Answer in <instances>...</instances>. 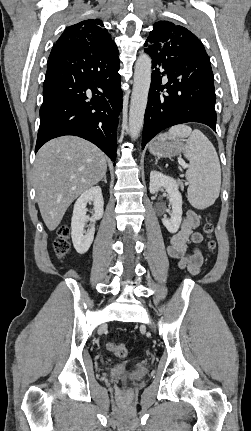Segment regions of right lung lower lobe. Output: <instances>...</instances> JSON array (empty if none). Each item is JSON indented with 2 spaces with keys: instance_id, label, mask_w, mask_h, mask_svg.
Masks as SVG:
<instances>
[{
  "instance_id": "obj_1",
  "label": "right lung lower lobe",
  "mask_w": 251,
  "mask_h": 431,
  "mask_svg": "<svg viewBox=\"0 0 251 431\" xmlns=\"http://www.w3.org/2000/svg\"><path fill=\"white\" fill-rule=\"evenodd\" d=\"M119 64V59L105 64L93 55L51 51L35 153L50 139L75 135L116 160V128L122 110Z\"/></svg>"
}]
</instances>
